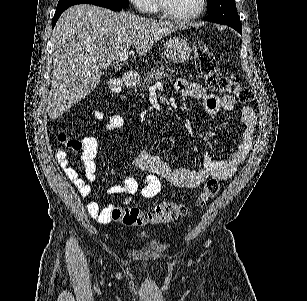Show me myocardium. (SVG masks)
I'll list each match as a JSON object with an SVG mask.
<instances>
[{
	"label": "myocardium",
	"instance_id": "myocardium-1",
	"mask_svg": "<svg viewBox=\"0 0 307 301\" xmlns=\"http://www.w3.org/2000/svg\"><path fill=\"white\" fill-rule=\"evenodd\" d=\"M159 1L155 17L164 18V22H193L194 18L201 16L205 6V0H199L196 11H168L165 0Z\"/></svg>",
	"mask_w": 307,
	"mask_h": 301
}]
</instances>
